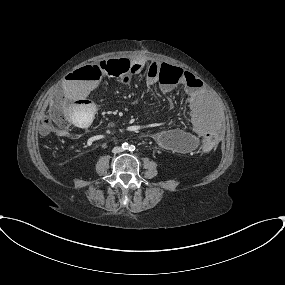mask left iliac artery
Returning <instances> with one entry per match:
<instances>
[{
  "label": "left iliac artery",
  "instance_id": "obj_1",
  "mask_svg": "<svg viewBox=\"0 0 285 285\" xmlns=\"http://www.w3.org/2000/svg\"><path fill=\"white\" fill-rule=\"evenodd\" d=\"M129 149H131V151H134L135 150V146L131 145V147Z\"/></svg>",
  "mask_w": 285,
  "mask_h": 285
}]
</instances>
